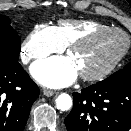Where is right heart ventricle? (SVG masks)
<instances>
[{
    "label": "right heart ventricle",
    "mask_w": 131,
    "mask_h": 131,
    "mask_svg": "<svg viewBox=\"0 0 131 131\" xmlns=\"http://www.w3.org/2000/svg\"><path fill=\"white\" fill-rule=\"evenodd\" d=\"M110 27L96 20H75L64 19L60 20L53 29L58 40L65 47L77 38L94 30Z\"/></svg>",
    "instance_id": "1"
}]
</instances>
